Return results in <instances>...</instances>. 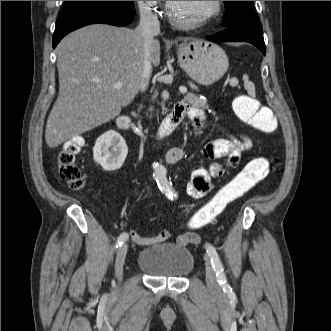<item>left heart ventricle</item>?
<instances>
[{"label": "left heart ventricle", "mask_w": 331, "mask_h": 331, "mask_svg": "<svg viewBox=\"0 0 331 331\" xmlns=\"http://www.w3.org/2000/svg\"><path fill=\"white\" fill-rule=\"evenodd\" d=\"M174 16L181 21H192L211 11L213 1H171Z\"/></svg>", "instance_id": "1"}]
</instances>
